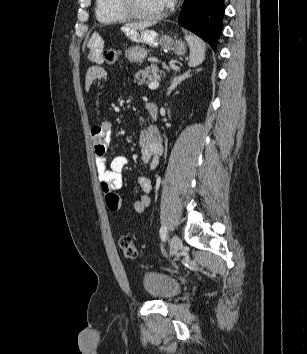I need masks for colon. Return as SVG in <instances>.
I'll list each match as a JSON object with an SVG mask.
<instances>
[{
	"instance_id": "colon-1",
	"label": "colon",
	"mask_w": 307,
	"mask_h": 354,
	"mask_svg": "<svg viewBox=\"0 0 307 354\" xmlns=\"http://www.w3.org/2000/svg\"><path fill=\"white\" fill-rule=\"evenodd\" d=\"M102 56L105 62L114 63L119 59L120 52L116 48H108L103 51ZM119 246L124 257L128 259H135L137 257V249L131 237L122 236L119 239Z\"/></svg>"
}]
</instances>
